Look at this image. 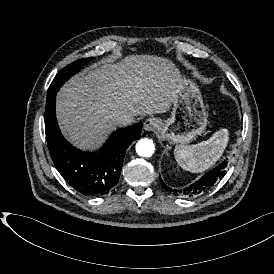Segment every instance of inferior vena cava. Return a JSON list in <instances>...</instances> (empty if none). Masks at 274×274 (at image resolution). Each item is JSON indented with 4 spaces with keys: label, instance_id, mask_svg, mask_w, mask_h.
Segmentation results:
<instances>
[{
    "label": "inferior vena cava",
    "instance_id": "602c4592",
    "mask_svg": "<svg viewBox=\"0 0 274 274\" xmlns=\"http://www.w3.org/2000/svg\"><path fill=\"white\" fill-rule=\"evenodd\" d=\"M136 120L135 116L131 113H123L119 118L120 126L134 123Z\"/></svg>",
    "mask_w": 274,
    "mask_h": 274
}]
</instances>
